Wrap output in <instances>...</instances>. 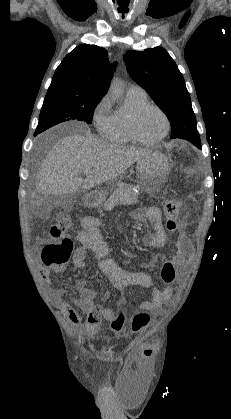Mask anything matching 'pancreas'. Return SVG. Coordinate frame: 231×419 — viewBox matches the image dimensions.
Wrapping results in <instances>:
<instances>
[{"instance_id":"1","label":"pancreas","mask_w":231,"mask_h":419,"mask_svg":"<svg viewBox=\"0 0 231 419\" xmlns=\"http://www.w3.org/2000/svg\"><path fill=\"white\" fill-rule=\"evenodd\" d=\"M138 193L132 190V186L119 183L107 200H104L102 206L105 210L121 205H133L138 203Z\"/></svg>"}]
</instances>
